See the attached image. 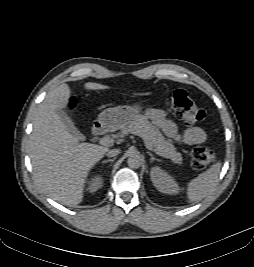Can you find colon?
<instances>
[{
  "label": "colon",
  "mask_w": 254,
  "mask_h": 267,
  "mask_svg": "<svg viewBox=\"0 0 254 267\" xmlns=\"http://www.w3.org/2000/svg\"><path fill=\"white\" fill-rule=\"evenodd\" d=\"M73 105V102H71ZM171 107L174 114L187 124H194L205 118V112L190 98L188 93L178 89L171 94ZM215 159L213 151L207 147H196L191 152V165L201 170L209 166Z\"/></svg>",
  "instance_id": "1"
}]
</instances>
